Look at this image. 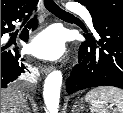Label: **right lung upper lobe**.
<instances>
[{
  "instance_id": "obj_1",
  "label": "right lung upper lobe",
  "mask_w": 123,
  "mask_h": 113,
  "mask_svg": "<svg viewBox=\"0 0 123 113\" xmlns=\"http://www.w3.org/2000/svg\"><path fill=\"white\" fill-rule=\"evenodd\" d=\"M38 0H1V15L25 9Z\"/></svg>"
}]
</instances>
